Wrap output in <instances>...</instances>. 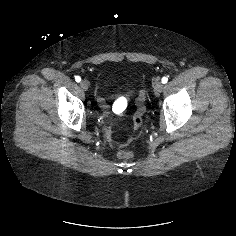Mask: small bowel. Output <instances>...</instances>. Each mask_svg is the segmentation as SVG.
Here are the masks:
<instances>
[{
    "mask_svg": "<svg viewBox=\"0 0 236 236\" xmlns=\"http://www.w3.org/2000/svg\"><path fill=\"white\" fill-rule=\"evenodd\" d=\"M99 104L101 105V107L104 109V110H108V105L107 103L105 102V99L102 97V96H98L97 98Z\"/></svg>",
    "mask_w": 236,
    "mask_h": 236,
    "instance_id": "small-bowel-1",
    "label": "small bowel"
}]
</instances>
